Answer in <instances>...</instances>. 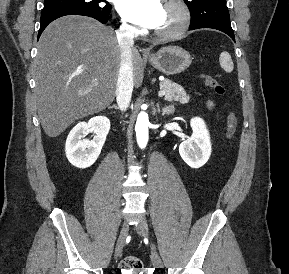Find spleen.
I'll list each match as a JSON object with an SVG mask.
<instances>
[{
  "label": "spleen",
  "mask_w": 289,
  "mask_h": 274,
  "mask_svg": "<svg viewBox=\"0 0 289 274\" xmlns=\"http://www.w3.org/2000/svg\"><path fill=\"white\" fill-rule=\"evenodd\" d=\"M219 60H220V65L225 72L230 73L233 71L234 65H233V62L229 53L227 52L221 53Z\"/></svg>",
  "instance_id": "3e777b00"
}]
</instances>
